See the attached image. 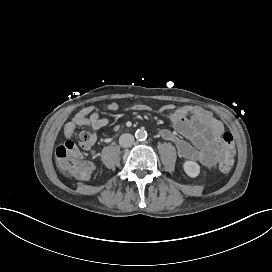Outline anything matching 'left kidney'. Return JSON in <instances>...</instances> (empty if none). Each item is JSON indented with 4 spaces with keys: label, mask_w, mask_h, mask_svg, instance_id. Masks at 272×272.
Returning a JSON list of instances; mask_svg holds the SVG:
<instances>
[{
    "label": "left kidney",
    "mask_w": 272,
    "mask_h": 272,
    "mask_svg": "<svg viewBox=\"0 0 272 272\" xmlns=\"http://www.w3.org/2000/svg\"><path fill=\"white\" fill-rule=\"evenodd\" d=\"M185 173L192 178H195L200 173V166L194 161H186L183 165Z\"/></svg>",
    "instance_id": "5707ae66"
}]
</instances>
